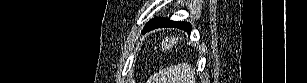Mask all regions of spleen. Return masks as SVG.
Instances as JSON below:
<instances>
[{
  "instance_id": "3e777b00",
  "label": "spleen",
  "mask_w": 307,
  "mask_h": 83,
  "mask_svg": "<svg viewBox=\"0 0 307 83\" xmlns=\"http://www.w3.org/2000/svg\"><path fill=\"white\" fill-rule=\"evenodd\" d=\"M147 83H196L195 72L188 63L160 70Z\"/></svg>"
}]
</instances>
